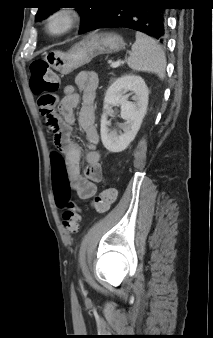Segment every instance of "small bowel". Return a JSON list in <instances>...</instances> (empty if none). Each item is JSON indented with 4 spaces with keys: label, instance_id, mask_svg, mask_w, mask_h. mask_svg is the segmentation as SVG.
I'll list each match as a JSON object with an SVG mask.
<instances>
[{
    "label": "small bowel",
    "instance_id": "obj_1",
    "mask_svg": "<svg viewBox=\"0 0 213 338\" xmlns=\"http://www.w3.org/2000/svg\"><path fill=\"white\" fill-rule=\"evenodd\" d=\"M98 86V77L94 72H82L75 79V86L67 85L63 88V95L59 102L58 125L63 133L61 146L65 156L53 152L51 164L53 172L63 171L70 181L72 189L82 200H89L96 194V183L102 180V166L100 155L96 150L99 141L97 127L94 122L93 103ZM82 94V96H81ZM82 104L78 118L74 110ZM78 122L84 132L88 149L84 152V166L80 168L82 149L74 139L73 125ZM49 128V127H48ZM51 133V129L49 128Z\"/></svg>",
    "mask_w": 213,
    "mask_h": 338
}]
</instances>
